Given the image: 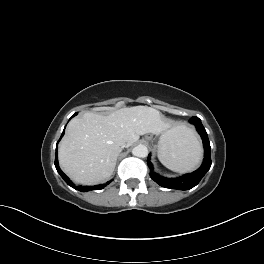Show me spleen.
I'll list each match as a JSON object with an SVG mask.
<instances>
[{
    "label": "spleen",
    "mask_w": 264,
    "mask_h": 264,
    "mask_svg": "<svg viewBox=\"0 0 264 264\" xmlns=\"http://www.w3.org/2000/svg\"><path fill=\"white\" fill-rule=\"evenodd\" d=\"M202 156L201 143L193 130L179 126L169 137V141L160 146L158 158L168 169L175 172L193 170Z\"/></svg>",
    "instance_id": "obj_1"
}]
</instances>
